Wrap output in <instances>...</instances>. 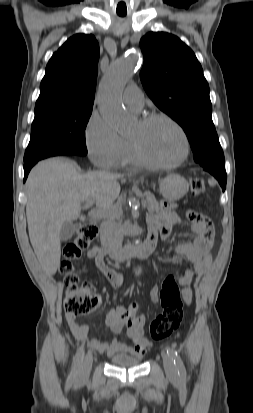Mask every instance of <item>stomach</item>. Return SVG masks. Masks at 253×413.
<instances>
[{
  "label": "stomach",
  "mask_w": 253,
  "mask_h": 413,
  "mask_svg": "<svg viewBox=\"0 0 253 413\" xmlns=\"http://www.w3.org/2000/svg\"><path fill=\"white\" fill-rule=\"evenodd\" d=\"M159 190L165 199L177 201L188 192L189 183L178 174H170L160 181Z\"/></svg>",
  "instance_id": "0dacf381"
}]
</instances>
